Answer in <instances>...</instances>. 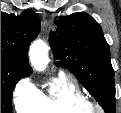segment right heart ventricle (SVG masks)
<instances>
[{"mask_svg":"<svg viewBox=\"0 0 121 113\" xmlns=\"http://www.w3.org/2000/svg\"><path fill=\"white\" fill-rule=\"evenodd\" d=\"M87 98L62 74L46 91L32 87L28 99L17 104L20 113H59L67 109H82Z\"/></svg>","mask_w":121,"mask_h":113,"instance_id":"e07e8e85","label":"right heart ventricle"}]
</instances>
